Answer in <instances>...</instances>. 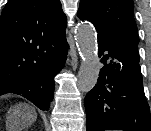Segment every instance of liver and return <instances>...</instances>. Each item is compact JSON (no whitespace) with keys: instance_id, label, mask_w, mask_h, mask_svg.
<instances>
[{"instance_id":"liver-1","label":"liver","mask_w":151,"mask_h":131,"mask_svg":"<svg viewBox=\"0 0 151 131\" xmlns=\"http://www.w3.org/2000/svg\"><path fill=\"white\" fill-rule=\"evenodd\" d=\"M36 120V113L35 111H32V117H31V121H35ZM30 122V120L28 121V123Z\"/></svg>"}]
</instances>
